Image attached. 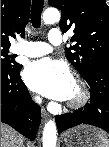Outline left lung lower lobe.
<instances>
[{
  "mask_svg": "<svg viewBox=\"0 0 109 147\" xmlns=\"http://www.w3.org/2000/svg\"><path fill=\"white\" fill-rule=\"evenodd\" d=\"M86 81L91 89L90 103L76 113L56 116L59 133L82 123L102 128L109 133V66L92 67Z\"/></svg>",
  "mask_w": 109,
  "mask_h": 147,
  "instance_id": "1",
  "label": "left lung lower lobe"
}]
</instances>
